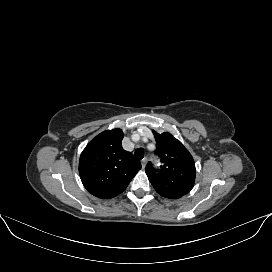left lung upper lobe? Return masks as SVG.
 Segmentation results:
<instances>
[{
    "label": "left lung upper lobe",
    "instance_id": "1",
    "mask_svg": "<svg viewBox=\"0 0 272 272\" xmlns=\"http://www.w3.org/2000/svg\"><path fill=\"white\" fill-rule=\"evenodd\" d=\"M157 150L163 166L154 169L151 162L146 166L149 181L161 196L178 199L191 191L194 185L195 163L183 144L170 133L153 131Z\"/></svg>",
    "mask_w": 272,
    "mask_h": 272
}]
</instances>
